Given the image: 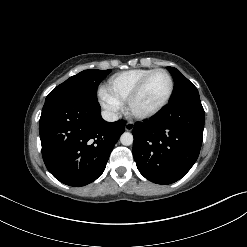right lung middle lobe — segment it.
I'll list each match as a JSON object with an SVG mask.
<instances>
[{
  "mask_svg": "<svg viewBox=\"0 0 247 247\" xmlns=\"http://www.w3.org/2000/svg\"><path fill=\"white\" fill-rule=\"evenodd\" d=\"M110 72L111 69L104 71L97 69L84 70L58 85L48 94L46 101L61 97L97 101V87Z\"/></svg>",
  "mask_w": 247,
  "mask_h": 247,
  "instance_id": "obj_1",
  "label": "right lung middle lobe"
}]
</instances>
